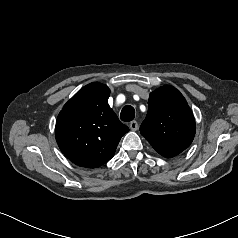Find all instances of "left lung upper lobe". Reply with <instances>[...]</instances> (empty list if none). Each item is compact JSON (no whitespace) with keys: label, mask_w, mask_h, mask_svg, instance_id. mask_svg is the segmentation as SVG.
Instances as JSON below:
<instances>
[{"label":"left lung upper lobe","mask_w":238,"mask_h":238,"mask_svg":"<svg viewBox=\"0 0 238 238\" xmlns=\"http://www.w3.org/2000/svg\"><path fill=\"white\" fill-rule=\"evenodd\" d=\"M195 130L193 113L177 89L166 85L150 94L140 132L160 155L180 154L192 143Z\"/></svg>","instance_id":"1"}]
</instances>
